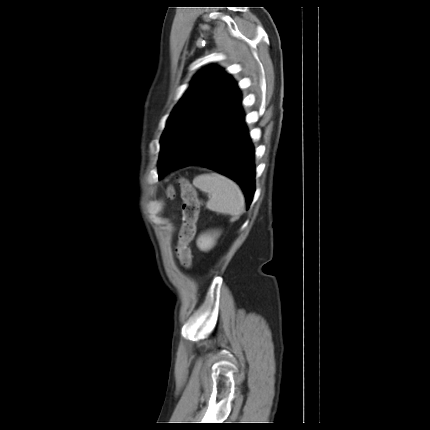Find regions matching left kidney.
<instances>
[{
    "label": "left kidney",
    "mask_w": 430,
    "mask_h": 430,
    "mask_svg": "<svg viewBox=\"0 0 430 430\" xmlns=\"http://www.w3.org/2000/svg\"><path fill=\"white\" fill-rule=\"evenodd\" d=\"M218 236V232L205 233L199 236L197 240V246L202 251L211 249L215 244V239Z\"/></svg>",
    "instance_id": "1"
}]
</instances>
